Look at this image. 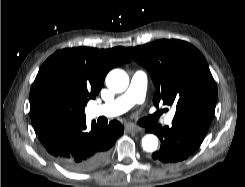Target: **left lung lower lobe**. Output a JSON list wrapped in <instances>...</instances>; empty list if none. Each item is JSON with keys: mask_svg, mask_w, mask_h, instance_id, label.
<instances>
[{"mask_svg": "<svg viewBox=\"0 0 245 187\" xmlns=\"http://www.w3.org/2000/svg\"><path fill=\"white\" fill-rule=\"evenodd\" d=\"M208 130L206 122H173L171 127L160 125L146 129L160 138V150L152 154L163 163L182 161L193 154L202 143Z\"/></svg>", "mask_w": 245, "mask_h": 187, "instance_id": "obj_1", "label": "left lung lower lobe"}]
</instances>
